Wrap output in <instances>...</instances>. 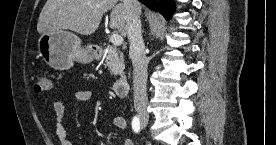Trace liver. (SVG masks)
Listing matches in <instances>:
<instances>
[{
	"label": "liver",
	"mask_w": 276,
	"mask_h": 145,
	"mask_svg": "<svg viewBox=\"0 0 276 145\" xmlns=\"http://www.w3.org/2000/svg\"><path fill=\"white\" fill-rule=\"evenodd\" d=\"M119 0H47L38 19V33L69 29L81 35L93 34L103 17L112 9L110 28L127 34L128 12ZM141 13V8H140Z\"/></svg>",
	"instance_id": "liver-1"
}]
</instances>
